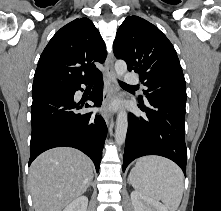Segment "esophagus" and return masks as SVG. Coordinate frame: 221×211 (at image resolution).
I'll use <instances>...</instances> for the list:
<instances>
[{"label": "esophagus", "mask_w": 221, "mask_h": 211, "mask_svg": "<svg viewBox=\"0 0 221 211\" xmlns=\"http://www.w3.org/2000/svg\"><path fill=\"white\" fill-rule=\"evenodd\" d=\"M106 91L103 100V118L107 124L110 123V120L113 116V111L111 109V103L113 97L115 96L118 88L116 83V75L113 67V55L110 53L106 59Z\"/></svg>", "instance_id": "obj_1"}]
</instances>
